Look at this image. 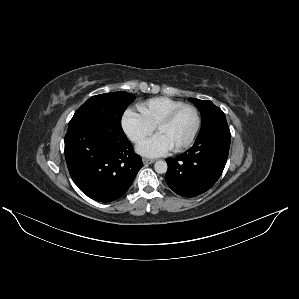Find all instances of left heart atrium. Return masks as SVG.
Segmentation results:
<instances>
[{"instance_id":"obj_1","label":"left heart atrium","mask_w":299,"mask_h":299,"mask_svg":"<svg viewBox=\"0 0 299 299\" xmlns=\"http://www.w3.org/2000/svg\"><path fill=\"white\" fill-rule=\"evenodd\" d=\"M173 149L170 142L161 134H156L137 146V152L147 157H159Z\"/></svg>"}]
</instances>
